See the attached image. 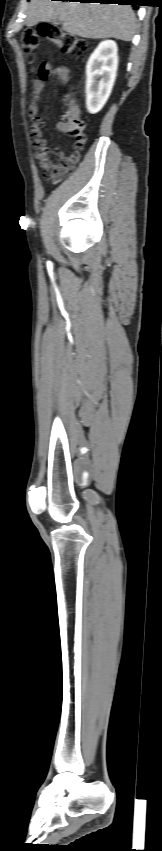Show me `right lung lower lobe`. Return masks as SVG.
I'll list each match as a JSON object with an SVG mask.
<instances>
[{
	"mask_svg": "<svg viewBox=\"0 0 162 851\" xmlns=\"http://www.w3.org/2000/svg\"><path fill=\"white\" fill-rule=\"evenodd\" d=\"M74 1V0H61ZM80 2L101 3V4H119V5H139L140 0H77Z\"/></svg>",
	"mask_w": 162,
	"mask_h": 851,
	"instance_id": "right-lung-lower-lobe-1",
	"label": "right lung lower lobe"
}]
</instances>
